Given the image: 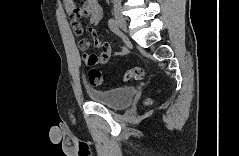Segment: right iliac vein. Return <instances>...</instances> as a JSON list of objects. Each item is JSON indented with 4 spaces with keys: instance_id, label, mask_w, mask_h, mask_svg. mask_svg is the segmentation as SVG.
<instances>
[{
    "instance_id": "obj_1",
    "label": "right iliac vein",
    "mask_w": 239,
    "mask_h": 156,
    "mask_svg": "<svg viewBox=\"0 0 239 156\" xmlns=\"http://www.w3.org/2000/svg\"><path fill=\"white\" fill-rule=\"evenodd\" d=\"M114 16L115 20L118 23L119 27L124 31L127 32V24L124 16L122 15L121 9L120 8H115L114 9Z\"/></svg>"
}]
</instances>
